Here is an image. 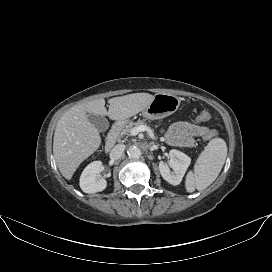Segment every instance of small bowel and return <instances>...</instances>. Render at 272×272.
Masks as SVG:
<instances>
[{
  "instance_id": "1",
  "label": "small bowel",
  "mask_w": 272,
  "mask_h": 272,
  "mask_svg": "<svg viewBox=\"0 0 272 272\" xmlns=\"http://www.w3.org/2000/svg\"><path fill=\"white\" fill-rule=\"evenodd\" d=\"M208 129L189 122H176L166 131L165 137L169 144L179 147H191L195 137H204Z\"/></svg>"
}]
</instances>
